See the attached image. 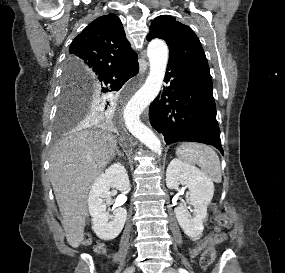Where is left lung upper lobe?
I'll list each match as a JSON object with an SVG mask.
<instances>
[{
	"label": "left lung upper lobe",
	"instance_id": "5c2ea615",
	"mask_svg": "<svg viewBox=\"0 0 285 273\" xmlns=\"http://www.w3.org/2000/svg\"><path fill=\"white\" fill-rule=\"evenodd\" d=\"M160 38L169 46V61H174L184 70L211 79L208 62L199 38L188 26L174 17L161 15L150 25L147 40Z\"/></svg>",
	"mask_w": 285,
	"mask_h": 273
}]
</instances>
